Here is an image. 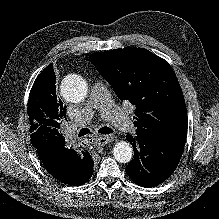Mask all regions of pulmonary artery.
Returning <instances> with one entry per match:
<instances>
[{
    "mask_svg": "<svg viewBox=\"0 0 219 219\" xmlns=\"http://www.w3.org/2000/svg\"><path fill=\"white\" fill-rule=\"evenodd\" d=\"M95 110L121 131L130 132L134 129L131 118L114 104L107 87L99 80L92 85L90 98L79 112L78 119L81 122L90 121Z\"/></svg>",
    "mask_w": 219,
    "mask_h": 219,
    "instance_id": "e3ab8cb5",
    "label": "pulmonary artery"
}]
</instances>
